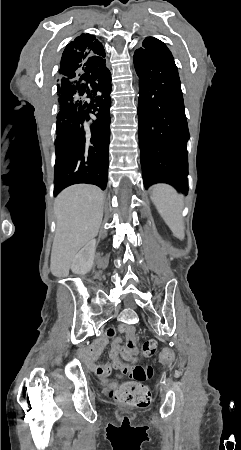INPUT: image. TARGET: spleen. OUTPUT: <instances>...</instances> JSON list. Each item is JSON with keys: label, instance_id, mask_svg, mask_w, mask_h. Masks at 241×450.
Here are the masks:
<instances>
[{"label": "spleen", "instance_id": "obj_1", "mask_svg": "<svg viewBox=\"0 0 241 450\" xmlns=\"http://www.w3.org/2000/svg\"><path fill=\"white\" fill-rule=\"evenodd\" d=\"M150 198L161 218L173 232V236L184 240V224L181 216L184 196L177 194L176 190L168 184H156L151 188Z\"/></svg>", "mask_w": 241, "mask_h": 450}]
</instances>
